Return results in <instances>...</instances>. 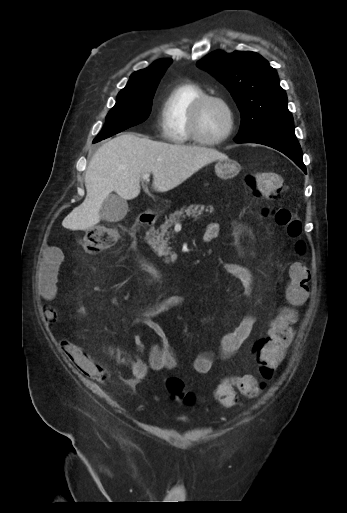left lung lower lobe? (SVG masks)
I'll use <instances>...</instances> for the list:
<instances>
[{"instance_id":"1","label":"left lung lower lobe","mask_w":347,"mask_h":513,"mask_svg":"<svg viewBox=\"0 0 347 513\" xmlns=\"http://www.w3.org/2000/svg\"><path fill=\"white\" fill-rule=\"evenodd\" d=\"M238 143H257L272 147L288 156L306 173L301 147L296 139L293 124L267 127Z\"/></svg>"}]
</instances>
